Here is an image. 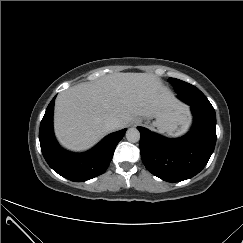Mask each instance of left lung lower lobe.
<instances>
[{"label":"left lung lower lobe","instance_id":"0a47b994","mask_svg":"<svg viewBox=\"0 0 243 243\" xmlns=\"http://www.w3.org/2000/svg\"><path fill=\"white\" fill-rule=\"evenodd\" d=\"M176 93L191 106L194 116L193 126L186 135L169 139L137 127L145 167L167 182H180L198 174L207 164L216 143L215 110L205 105V95L191 84Z\"/></svg>","mask_w":243,"mask_h":243}]
</instances>
